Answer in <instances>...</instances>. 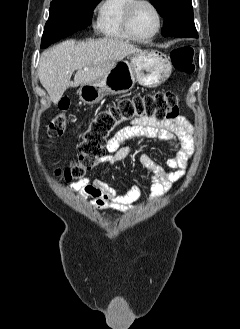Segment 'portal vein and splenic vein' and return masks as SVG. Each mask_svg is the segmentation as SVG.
Segmentation results:
<instances>
[{"mask_svg":"<svg viewBox=\"0 0 240 329\" xmlns=\"http://www.w3.org/2000/svg\"><path fill=\"white\" fill-rule=\"evenodd\" d=\"M84 70L86 71V70H88V68H84Z\"/></svg>","mask_w":240,"mask_h":329,"instance_id":"portal-vein-and-splenic-vein-1","label":"portal vein and splenic vein"}]
</instances>
